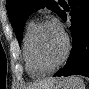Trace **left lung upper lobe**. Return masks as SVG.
Segmentation results:
<instances>
[{"mask_svg":"<svg viewBox=\"0 0 89 89\" xmlns=\"http://www.w3.org/2000/svg\"><path fill=\"white\" fill-rule=\"evenodd\" d=\"M7 12L19 43L22 41L23 28L28 16L43 7L54 11L59 16L62 10L53 0H7Z\"/></svg>","mask_w":89,"mask_h":89,"instance_id":"left-lung-upper-lobe-1","label":"left lung upper lobe"}]
</instances>
